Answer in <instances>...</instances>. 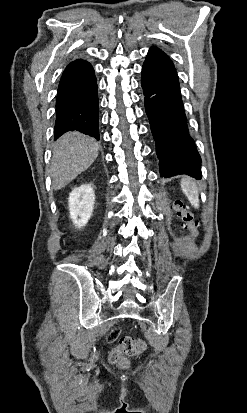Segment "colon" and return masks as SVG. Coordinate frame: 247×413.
Listing matches in <instances>:
<instances>
[{
  "mask_svg": "<svg viewBox=\"0 0 247 413\" xmlns=\"http://www.w3.org/2000/svg\"><path fill=\"white\" fill-rule=\"evenodd\" d=\"M172 208L181 217L184 225L187 226L194 234H197V223L194 221L192 214L189 212L186 205L181 201H173ZM128 344L129 348L124 349L123 345ZM147 347L142 340H137L129 336H124L119 339V343L114 344V350L110 353L109 360L116 367L124 369L128 361L125 355H146Z\"/></svg>",
  "mask_w": 247,
  "mask_h": 413,
  "instance_id": "1",
  "label": "colon"
}]
</instances>
